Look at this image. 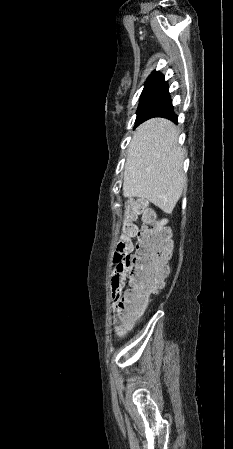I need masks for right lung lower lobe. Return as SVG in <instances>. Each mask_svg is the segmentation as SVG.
<instances>
[{
  "instance_id": "1",
  "label": "right lung lower lobe",
  "mask_w": 233,
  "mask_h": 449,
  "mask_svg": "<svg viewBox=\"0 0 233 449\" xmlns=\"http://www.w3.org/2000/svg\"><path fill=\"white\" fill-rule=\"evenodd\" d=\"M154 117H163V118H167V119H169V120H171L173 122H177V115L173 111V106L168 108L165 111H162V112L158 113Z\"/></svg>"
}]
</instances>
